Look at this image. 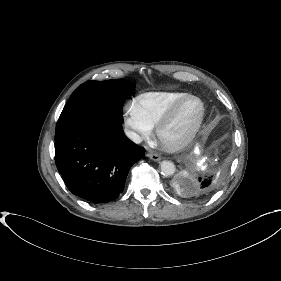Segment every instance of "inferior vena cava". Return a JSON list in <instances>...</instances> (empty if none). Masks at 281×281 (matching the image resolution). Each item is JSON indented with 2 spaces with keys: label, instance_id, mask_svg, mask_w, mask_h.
I'll return each instance as SVG.
<instances>
[{
  "label": "inferior vena cava",
  "instance_id": "602c4592",
  "mask_svg": "<svg viewBox=\"0 0 281 281\" xmlns=\"http://www.w3.org/2000/svg\"><path fill=\"white\" fill-rule=\"evenodd\" d=\"M125 134L126 136L132 140L134 143L139 144L142 141V138L135 132L129 130V129H125Z\"/></svg>",
  "mask_w": 281,
  "mask_h": 281
}]
</instances>
